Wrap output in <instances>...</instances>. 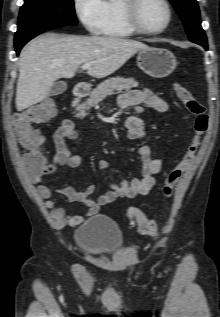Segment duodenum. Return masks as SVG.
<instances>
[{"label": "duodenum", "mask_w": 220, "mask_h": 317, "mask_svg": "<svg viewBox=\"0 0 220 317\" xmlns=\"http://www.w3.org/2000/svg\"><path fill=\"white\" fill-rule=\"evenodd\" d=\"M89 90L90 88L87 84L79 83L74 87L73 95L75 98H82L88 94Z\"/></svg>", "instance_id": "1"}]
</instances>
